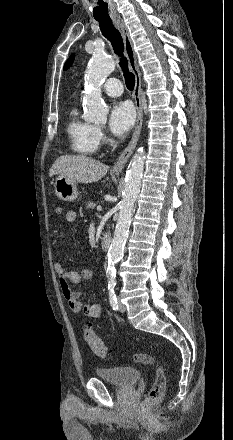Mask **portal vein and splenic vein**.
Instances as JSON below:
<instances>
[{
    "label": "portal vein and splenic vein",
    "instance_id": "obj_1",
    "mask_svg": "<svg viewBox=\"0 0 233 440\" xmlns=\"http://www.w3.org/2000/svg\"><path fill=\"white\" fill-rule=\"evenodd\" d=\"M97 210L101 211L102 210L101 206H97Z\"/></svg>",
    "mask_w": 233,
    "mask_h": 440
}]
</instances>
